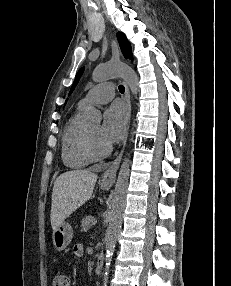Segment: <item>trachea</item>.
Segmentation results:
<instances>
[{"instance_id": "1", "label": "trachea", "mask_w": 231, "mask_h": 286, "mask_svg": "<svg viewBox=\"0 0 231 286\" xmlns=\"http://www.w3.org/2000/svg\"><path fill=\"white\" fill-rule=\"evenodd\" d=\"M119 91H120V93H124V91H125V88H124V86L123 85H119Z\"/></svg>"}]
</instances>
